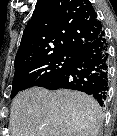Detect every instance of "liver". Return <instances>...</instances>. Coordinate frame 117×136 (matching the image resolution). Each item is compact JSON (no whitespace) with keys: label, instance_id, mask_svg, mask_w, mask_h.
Masks as SVG:
<instances>
[{"label":"liver","instance_id":"obj_1","mask_svg":"<svg viewBox=\"0 0 117 136\" xmlns=\"http://www.w3.org/2000/svg\"><path fill=\"white\" fill-rule=\"evenodd\" d=\"M103 114L91 96L78 91L33 87L11 104L12 136H98Z\"/></svg>","mask_w":117,"mask_h":136}]
</instances>
